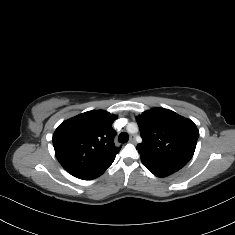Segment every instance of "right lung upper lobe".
<instances>
[{
	"instance_id": "right-lung-upper-lobe-1",
	"label": "right lung upper lobe",
	"mask_w": 235,
	"mask_h": 235,
	"mask_svg": "<svg viewBox=\"0 0 235 235\" xmlns=\"http://www.w3.org/2000/svg\"><path fill=\"white\" fill-rule=\"evenodd\" d=\"M116 119L104 110H92L62 122L52 141L63 168L75 176L104 173L120 151L114 144Z\"/></svg>"
}]
</instances>
